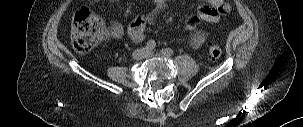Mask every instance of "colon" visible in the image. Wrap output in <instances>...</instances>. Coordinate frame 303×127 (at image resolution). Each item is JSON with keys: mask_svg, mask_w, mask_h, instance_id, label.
Masks as SVG:
<instances>
[{"mask_svg": "<svg viewBox=\"0 0 303 127\" xmlns=\"http://www.w3.org/2000/svg\"><path fill=\"white\" fill-rule=\"evenodd\" d=\"M104 36V25L101 19L85 9L79 10L72 23V42L74 48L80 53H86L97 46ZM209 56L216 60L222 51L216 44L208 46Z\"/></svg>", "mask_w": 303, "mask_h": 127, "instance_id": "1", "label": "colon"}]
</instances>
